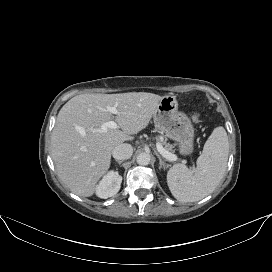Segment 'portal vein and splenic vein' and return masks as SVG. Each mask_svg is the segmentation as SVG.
<instances>
[{
  "mask_svg": "<svg viewBox=\"0 0 272 272\" xmlns=\"http://www.w3.org/2000/svg\"><path fill=\"white\" fill-rule=\"evenodd\" d=\"M107 110L109 112H111L112 114H119L118 109H116L115 107H108ZM108 128L110 129H117L118 125L116 122L114 121H108L106 123H104L101 126V130L102 131H106ZM157 150L158 152L165 157L166 159L170 160V161H176L177 160V156L175 154L170 153L169 151H167L166 149L163 148L161 143H157L156 144Z\"/></svg>",
  "mask_w": 272,
  "mask_h": 272,
  "instance_id": "portal-vein-and-splenic-vein-1",
  "label": "portal vein and splenic vein"
}]
</instances>
